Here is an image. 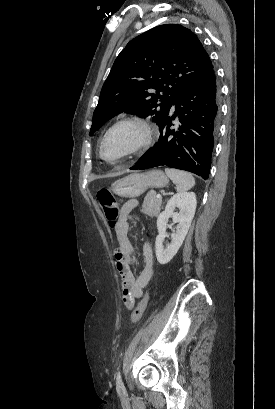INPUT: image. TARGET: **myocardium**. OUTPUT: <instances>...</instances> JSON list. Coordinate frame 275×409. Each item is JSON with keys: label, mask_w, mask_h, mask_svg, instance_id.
I'll use <instances>...</instances> for the list:
<instances>
[{"label": "myocardium", "mask_w": 275, "mask_h": 409, "mask_svg": "<svg viewBox=\"0 0 275 409\" xmlns=\"http://www.w3.org/2000/svg\"><path fill=\"white\" fill-rule=\"evenodd\" d=\"M124 126L135 128L138 133V138L133 143V145H131L125 152H123L117 157H129L139 152L141 149H143L150 143L151 138H152V130L147 121H145L144 119L138 118V117L123 118L115 122L113 125H111L108 128V130L105 132L104 136L102 137L100 144H99L100 157H106L103 153V147H104L106 140L109 138V136L115 130H117L118 128L124 127Z\"/></svg>", "instance_id": "1"}]
</instances>
